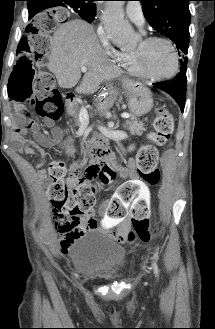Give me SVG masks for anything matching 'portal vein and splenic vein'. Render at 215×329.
<instances>
[{
  "instance_id": "portal-vein-and-splenic-vein-1",
  "label": "portal vein and splenic vein",
  "mask_w": 215,
  "mask_h": 329,
  "mask_svg": "<svg viewBox=\"0 0 215 329\" xmlns=\"http://www.w3.org/2000/svg\"><path fill=\"white\" fill-rule=\"evenodd\" d=\"M81 71L87 72V67H85V66L81 67ZM121 117L124 119H128V118H130V115L128 113H122ZM79 118H80L81 122H83L85 124L89 123V116H88V112H87L86 108L82 107L80 109Z\"/></svg>"
}]
</instances>
